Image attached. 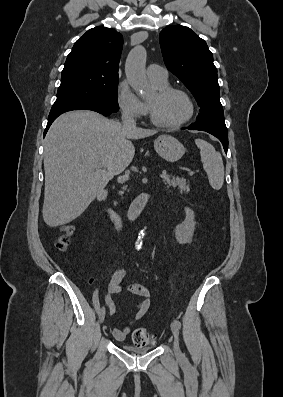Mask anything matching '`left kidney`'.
<instances>
[{
  "mask_svg": "<svg viewBox=\"0 0 283 397\" xmlns=\"http://www.w3.org/2000/svg\"><path fill=\"white\" fill-rule=\"evenodd\" d=\"M186 219L178 225L175 229V237L179 244L190 243L194 234L196 222L195 215L192 209L185 207Z\"/></svg>",
  "mask_w": 283,
  "mask_h": 397,
  "instance_id": "5707ae66",
  "label": "left kidney"
}]
</instances>
